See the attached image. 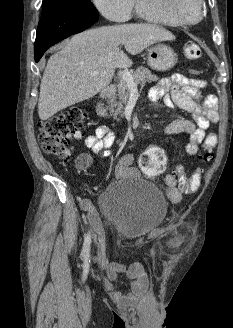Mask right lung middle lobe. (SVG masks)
Returning <instances> with one entry per match:
<instances>
[{
  "instance_id": "right-lung-middle-lobe-1",
  "label": "right lung middle lobe",
  "mask_w": 233,
  "mask_h": 328,
  "mask_svg": "<svg viewBox=\"0 0 233 328\" xmlns=\"http://www.w3.org/2000/svg\"><path fill=\"white\" fill-rule=\"evenodd\" d=\"M44 7H64L74 9H88L91 11H97L93 3L90 0H43Z\"/></svg>"
}]
</instances>
